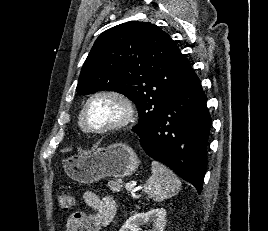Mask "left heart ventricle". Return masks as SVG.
Listing matches in <instances>:
<instances>
[{"label": "left heart ventricle", "instance_id": "left-heart-ventricle-1", "mask_svg": "<svg viewBox=\"0 0 268 231\" xmlns=\"http://www.w3.org/2000/svg\"><path fill=\"white\" fill-rule=\"evenodd\" d=\"M122 114L120 104L111 98L95 99L88 107L87 119L91 126L101 127L117 121Z\"/></svg>", "mask_w": 268, "mask_h": 231}]
</instances>
